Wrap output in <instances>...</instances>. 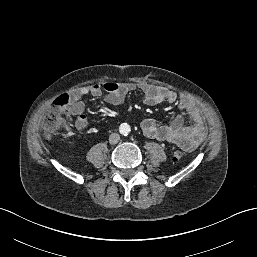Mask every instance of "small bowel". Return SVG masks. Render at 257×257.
Here are the masks:
<instances>
[{
    "mask_svg": "<svg viewBox=\"0 0 257 257\" xmlns=\"http://www.w3.org/2000/svg\"><path fill=\"white\" fill-rule=\"evenodd\" d=\"M137 89L143 93L145 104L153 106L163 102H177L179 109L185 110L192 119L190 125H185L181 115L175 116L169 124H160L152 118L144 119L141 128L147 137L175 144L187 151L197 148L202 143L206 137V127L204 116L196 103L185 96L178 98L174 91L147 82H107L74 89L70 95L69 110L70 114L76 117V129L82 131L88 125L84 114L85 104L81 101L83 96L98 97L105 92L104 101L116 106L124 102L128 93Z\"/></svg>",
    "mask_w": 257,
    "mask_h": 257,
    "instance_id": "obj_1",
    "label": "small bowel"
}]
</instances>
